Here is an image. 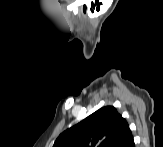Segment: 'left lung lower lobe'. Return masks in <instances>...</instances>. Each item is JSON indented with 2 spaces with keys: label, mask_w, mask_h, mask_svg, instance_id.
Here are the masks:
<instances>
[{
  "label": "left lung lower lobe",
  "mask_w": 163,
  "mask_h": 147,
  "mask_svg": "<svg viewBox=\"0 0 163 147\" xmlns=\"http://www.w3.org/2000/svg\"><path fill=\"white\" fill-rule=\"evenodd\" d=\"M115 147H134V140L129 126H127Z\"/></svg>",
  "instance_id": "0a47b994"
}]
</instances>
